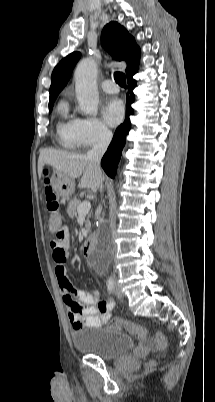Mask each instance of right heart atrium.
<instances>
[{
  "label": "right heart atrium",
  "instance_id": "obj_1",
  "mask_svg": "<svg viewBox=\"0 0 215 402\" xmlns=\"http://www.w3.org/2000/svg\"><path fill=\"white\" fill-rule=\"evenodd\" d=\"M74 136L77 146L87 148L105 143L111 132L98 118L85 117L75 120Z\"/></svg>",
  "mask_w": 215,
  "mask_h": 402
}]
</instances>
